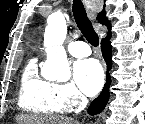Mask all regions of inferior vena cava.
I'll return each instance as SVG.
<instances>
[{"label":"inferior vena cava","mask_w":145,"mask_h":124,"mask_svg":"<svg viewBox=\"0 0 145 124\" xmlns=\"http://www.w3.org/2000/svg\"><path fill=\"white\" fill-rule=\"evenodd\" d=\"M86 104H87V100L84 99V100L82 101V105H86Z\"/></svg>","instance_id":"602c4592"}]
</instances>
